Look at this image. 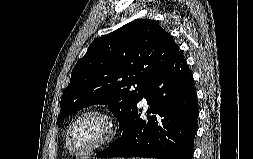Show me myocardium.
Returning <instances> with one entry per match:
<instances>
[{
	"label": "myocardium",
	"mask_w": 253,
	"mask_h": 159,
	"mask_svg": "<svg viewBox=\"0 0 253 159\" xmlns=\"http://www.w3.org/2000/svg\"><path fill=\"white\" fill-rule=\"evenodd\" d=\"M91 114H98V115L103 116L108 122L109 132L101 141H99L97 144H95L93 147H91L87 151L76 152L75 150H73V148L71 147V144H70L73 130H74L76 124L83 117H85L87 115H91ZM120 129H121V127H120L118 119L110 110H108L107 108H104V107H92V108H89V109L81 112L80 114H78L74 118V120L71 122V124L67 130V134H66V147L71 155L76 156V157H86L88 155L93 154L95 151L112 143L119 136Z\"/></svg>",
	"instance_id": "f54148a6"
}]
</instances>
